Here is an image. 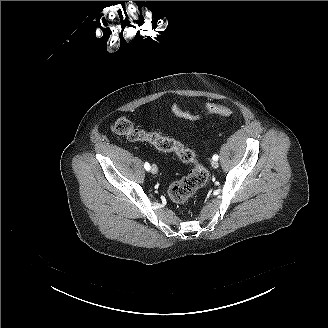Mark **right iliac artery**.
Instances as JSON below:
<instances>
[{
  "instance_id": "1",
  "label": "right iliac artery",
  "mask_w": 328,
  "mask_h": 328,
  "mask_svg": "<svg viewBox=\"0 0 328 328\" xmlns=\"http://www.w3.org/2000/svg\"><path fill=\"white\" fill-rule=\"evenodd\" d=\"M144 167H145V169H146L147 171H149V170H150V165H149V163H148V162H146V163H145Z\"/></svg>"
}]
</instances>
